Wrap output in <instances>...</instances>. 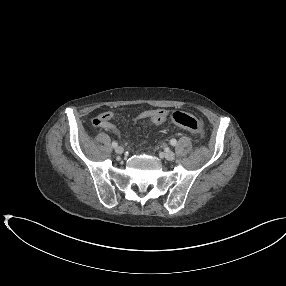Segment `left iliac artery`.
Wrapping results in <instances>:
<instances>
[{"label":"left iliac artery","instance_id":"44dca946","mask_svg":"<svg viewBox=\"0 0 286 286\" xmlns=\"http://www.w3.org/2000/svg\"><path fill=\"white\" fill-rule=\"evenodd\" d=\"M170 144H171L172 146H175V145L177 144V141H176L175 139H172V140L170 141Z\"/></svg>","mask_w":286,"mask_h":286}]
</instances>
